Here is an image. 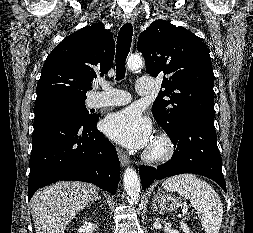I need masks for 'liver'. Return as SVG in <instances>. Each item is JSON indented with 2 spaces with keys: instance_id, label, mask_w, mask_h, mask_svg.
<instances>
[{
  "instance_id": "obj_1",
  "label": "liver",
  "mask_w": 253,
  "mask_h": 233,
  "mask_svg": "<svg viewBox=\"0 0 253 233\" xmlns=\"http://www.w3.org/2000/svg\"><path fill=\"white\" fill-rule=\"evenodd\" d=\"M97 188L85 182H57L34 194L31 213L36 233H64L72 218L97 197Z\"/></svg>"
}]
</instances>
